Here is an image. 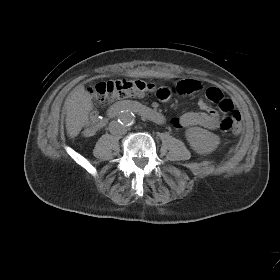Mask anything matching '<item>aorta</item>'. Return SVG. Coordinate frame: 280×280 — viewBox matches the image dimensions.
<instances>
[{
	"mask_svg": "<svg viewBox=\"0 0 280 280\" xmlns=\"http://www.w3.org/2000/svg\"><path fill=\"white\" fill-rule=\"evenodd\" d=\"M118 121L124 126H128L134 121V114L130 111L124 110L118 116Z\"/></svg>",
	"mask_w": 280,
	"mask_h": 280,
	"instance_id": "obj_1",
	"label": "aorta"
}]
</instances>
